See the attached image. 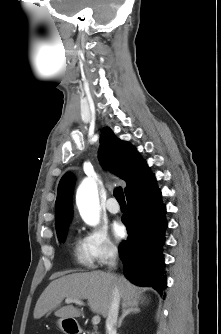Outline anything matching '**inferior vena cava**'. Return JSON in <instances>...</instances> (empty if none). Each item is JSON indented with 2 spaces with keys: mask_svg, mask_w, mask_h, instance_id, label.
<instances>
[{
  "mask_svg": "<svg viewBox=\"0 0 221 334\" xmlns=\"http://www.w3.org/2000/svg\"><path fill=\"white\" fill-rule=\"evenodd\" d=\"M117 258H118L117 248L110 247L109 261H108L109 268L115 267L117 263ZM112 296H113L112 301L106 318V331L108 334H116V325H117L119 303H120L119 291L116 287L114 288Z\"/></svg>",
  "mask_w": 221,
  "mask_h": 334,
  "instance_id": "inferior-vena-cava-1",
  "label": "inferior vena cava"
}]
</instances>
